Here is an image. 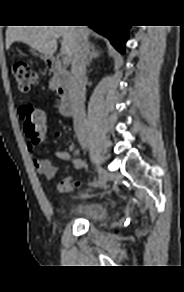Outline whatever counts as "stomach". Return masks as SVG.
I'll use <instances>...</instances> for the list:
<instances>
[{
    "label": "stomach",
    "mask_w": 184,
    "mask_h": 292,
    "mask_svg": "<svg viewBox=\"0 0 184 292\" xmlns=\"http://www.w3.org/2000/svg\"><path fill=\"white\" fill-rule=\"evenodd\" d=\"M32 52H34V51L32 50ZM41 58H42L44 61L49 60V57H47V56H41Z\"/></svg>",
    "instance_id": "obj_1"
}]
</instances>
